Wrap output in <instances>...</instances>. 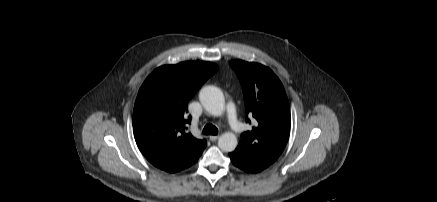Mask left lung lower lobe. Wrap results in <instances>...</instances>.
<instances>
[{"label": "left lung lower lobe", "mask_w": 437, "mask_h": 202, "mask_svg": "<svg viewBox=\"0 0 437 202\" xmlns=\"http://www.w3.org/2000/svg\"><path fill=\"white\" fill-rule=\"evenodd\" d=\"M229 156L233 165L248 173H258L267 168L266 166L255 162L236 150L229 153Z\"/></svg>", "instance_id": "1"}]
</instances>
